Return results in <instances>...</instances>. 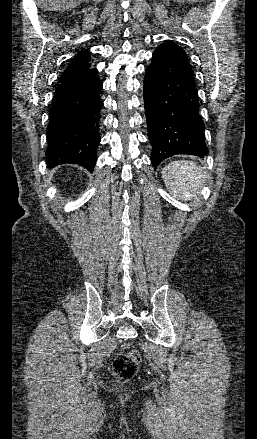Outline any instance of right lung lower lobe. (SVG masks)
I'll list each match as a JSON object with an SVG mask.
<instances>
[{
  "label": "right lung lower lobe",
  "mask_w": 257,
  "mask_h": 439,
  "mask_svg": "<svg viewBox=\"0 0 257 439\" xmlns=\"http://www.w3.org/2000/svg\"><path fill=\"white\" fill-rule=\"evenodd\" d=\"M96 68L56 88L47 129V166L78 164L91 172L100 143L102 82Z\"/></svg>",
  "instance_id": "1"
}]
</instances>
